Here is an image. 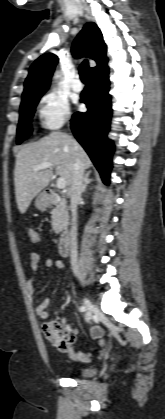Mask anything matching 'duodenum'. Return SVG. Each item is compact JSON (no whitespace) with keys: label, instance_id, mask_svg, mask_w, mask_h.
I'll list each match as a JSON object with an SVG mask.
<instances>
[{"label":"duodenum","instance_id":"obj_1","mask_svg":"<svg viewBox=\"0 0 165 419\" xmlns=\"http://www.w3.org/2000/svg\"><path fill=\"white\" fill-rule=\"evenodd\" d=\"M58 197L56 191L49 189L43 194V199L49 204L53 203ZM70 244V230L68 227H64L61 232V236L58 242V250L60 255L67 256L69 253Z\"/></svg>","mask_w":165,"mask_h":419}]
</instances>
